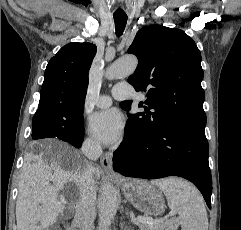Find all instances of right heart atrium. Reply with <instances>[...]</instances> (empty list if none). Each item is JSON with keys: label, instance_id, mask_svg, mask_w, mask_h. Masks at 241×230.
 Masks as SVG:
<instances>
[{"label": "right heart atrium", "instance_id": "1", "mask_svg": "<svg viewBox=\"0 0 241 230\" xmlns=\"http://www.w3.org/2000/svg\"><path fill=\"white\" fill-rule=\"evenodd\" d=\"M83 149L87 154L94 155L99 150V144L91 138H85L83 141Z\"/></svg>", "mask_w": 241, "mask_h": 230}]
</instances>
